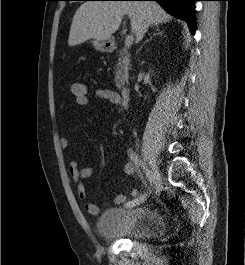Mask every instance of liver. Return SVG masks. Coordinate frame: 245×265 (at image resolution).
<instances>
[{"mask_svg":"<svg viewBox=\"0 0 245 265\" xmlns=\"http://www.w3.org/2000/svg\"><path fill=\"white\" fill-rule=\"evenodd\" d=\"M124 15L131 21L136 42L150 25L167 23L171 16L156 2L86 1L76 11L70 27L68 44L75 46L89 39L108 40Z\"/></svg>","mask_w":245,"mask_h":265,"instance_id":"1","label":"liver"}]
</instances>
